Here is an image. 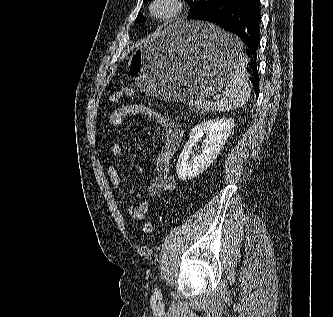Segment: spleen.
<instances>
[{
	"label": "spleen",
	"mask_w": 333,
	"mask_h": 317,
	"mask_svg": "<svg viewBox=\"0 0 333 317\" xmlns=\"http://www.w3.org/2000/svg\"><path fill=\"white\" fill-rule=\"evenodd\" d=\"M220 42L229 51L231 69L228 81L222 95L213 104L215 111L227 112L242 107L250 98V87L247 83L245 69L246 58L240 51V41L237 37L223 30H219Z\"/></svg>",
	"instance_id": "spleen-1"
}]
</instances>
